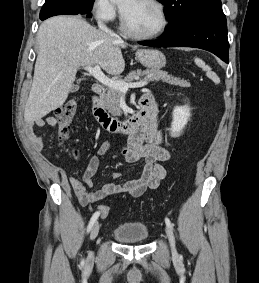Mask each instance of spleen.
I'll return each mask as SVG.
<instances>
[{
  "label": "spleen",
  "mask_w": 259,
  "mask_h": 283,
  "mask_svg": "<svg viewBox=\"0 0 259 283\" xmlns=\"http://www.w3.org/2000/svg\"><path fill=\"white\" fill-rule=\"evenodd\" d=\"M194 62L198 67L202 68L203 71H206V75L209 78H211L213 80H218L216 74L214 72H212L211 68L208 65H206L203 60H201L200 58H196L194 60Z\"/></svg>",
  "instance_id": "3e777b00"
}]
</instances>
